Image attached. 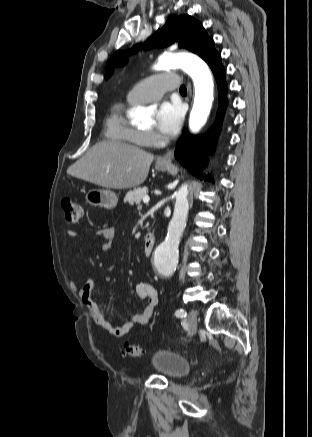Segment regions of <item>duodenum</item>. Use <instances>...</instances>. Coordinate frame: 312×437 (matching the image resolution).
I'll use <instances>...</instances> for the list:
<instances>
[{
	"label": "duodenum",
	"mask_w": 312,
	"mask_h": 437,
	"mask_svg": "<svg viewBox=\"0 0 312 437\" xmlns=\"http://www.w3.org/2000/svg\"><path fill=\"white\" fill-rule=\"evenodd\" d=\"M155 244V235L153 232H147L145 235V242H144V254L146 256H149L154 248Z\"/></svg>",
	"instance_id": "410a0bca"
}]
</instances>
